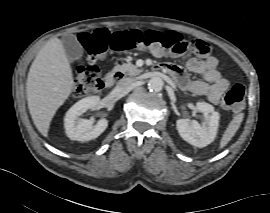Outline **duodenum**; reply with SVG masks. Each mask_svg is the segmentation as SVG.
I'll return each mask as SVG.
<instances>
[{
    "label": "duodenum",
    "mask_w": 270,
    "mask_h": 213,
    "mask_svg": "<svg viewBox=\"0 0 270 213\" xmlns=\"http://www.w3.org/2000/svg\"><path fill=\"white\" fill-rule=\"evenodd\" d=\"M124 79V74L120 71L110 72L104 79V87L110 88Z\"/></svg>",
    "instance_id": "1"
}]
</instances>
